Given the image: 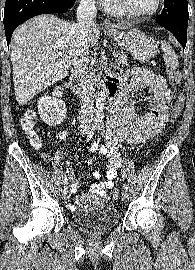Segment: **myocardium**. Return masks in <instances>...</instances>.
<instances>
[{
  "instance_id": "myocardium-1",
  "label": "myocardium",
  "mask_w": 195,
  "mask_h": 270,
  "mask_svg": "<svg viewBox=\"0 0 195 270\" xmlns=\"http://www.w3.org/2000/svg\"><path fill=\"white\" fill-rule=\"evenodd\" d=\"M120 4L122 5V7L131 14V16L133 17H137V18H147L150 16H153L154 14H156L162 7L163 4V0H157L156 5L153 9L146 11V12H139L134 10L130 4L128 3V0H119Z\"/></svg>"
}]
</instances>
